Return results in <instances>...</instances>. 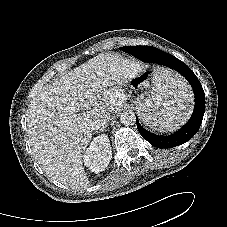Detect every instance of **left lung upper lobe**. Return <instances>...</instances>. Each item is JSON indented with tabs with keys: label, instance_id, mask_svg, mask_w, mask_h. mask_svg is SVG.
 <instances>
[{
	"label": "left lung upper lobe",
	"instance_id": "obj_1",
	"mask_svg": "<svg viewBox=\"0 0 227 227\" xmlns=\"http://www.w3.org/2000/svg\"><path fill=\"white\" fill-rule=\"evenodd\" d=\"M130 47H132V46H126V47H122V48H120V49H121L122 51L128 53L127 50L130 49Z\"/></svg>",
	"mask_w": 227,
	"mask_h": 227
}]
</instances>
